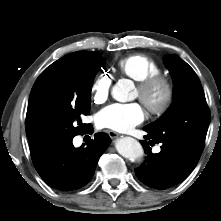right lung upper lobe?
<instances>
[{"mask_svg":"<svg viewBox=\"0 0 221 221\" xmlns=\"http://www.w3.org/2000/svg\"><path fill=\"white\" fill-rule=\"evenodd\" d=\"M88 53L89 52H87V51H78V52L68 54V55L62 57L61 59L57 60L53 64H51L48 68H52L54 66H57L59 64L66 63V62H69V61H75L79 58H82L83 56H85Z\"/></svg>","mask_w":221,"mask_h":221,"instance_id":"right-lung-upper-lobe-1","label":"right lung upper lobe"}]
</instances>
